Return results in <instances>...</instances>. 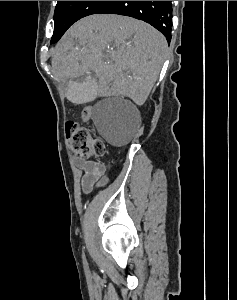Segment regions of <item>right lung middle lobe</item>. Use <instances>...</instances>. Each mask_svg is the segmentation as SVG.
Returning <instances> with one entry per match:
<instances>
[{
    "label": "right lung middle lobe",
    "mask_w": 237,
    "mask_h": 300,
    "mask_svg": "<svg viewBox=\"0 0 237 300\" xmlns=\"http://www.w3.org/2000/svg\"><path fill=\"white\" fill-rule=\"evenodd\" d=\"M107 1H57L54 13V33L51 43H56L66 30L79 19L95 14Z\"/></svg>",
    "instance_id": "obj_1"
}]
</instances>
